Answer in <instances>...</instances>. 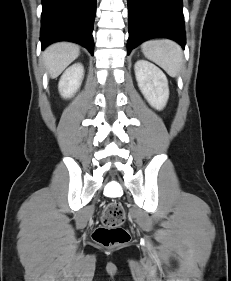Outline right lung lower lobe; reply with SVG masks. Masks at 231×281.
Listing matches in <instances>:
<instances>
[{
	"label": "right lung lower lobe",
	"mask_w": 231,
	"mask_h": 281,
	"mask_svg": "<svg viewBox=\"0 0 231 281\" xmlns=\"http://www.w3.org/2000/svg\"><path fill=\"white\" fill-rule=\"evenodd\" d=\"M42 49L55 41L81 44L93 55L96 0H42Z\"/></svg>",
	"instance_id": "obj_1"
}]
</instances>
